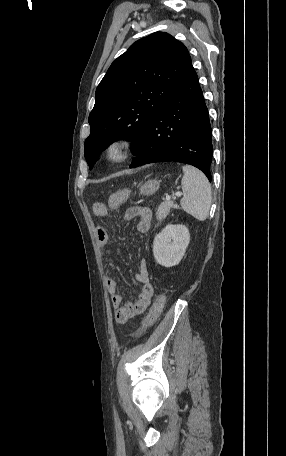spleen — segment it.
Wrapping results in <instances>:
<instances>
[{
  "instance_id": "obj_1",
  "label": "spleen",
  "mask_w": 286,
  "mask_h": 456,
  "mask_svg": "<svg viewBox=\"0 0 286 456\" xmlns=\"http://www.w3.org/2000/svg\"><path fill=\"white\" fill-rule=\"evenodd\" d=\"M183 172L181 207L197 220L204 221L209 215L212 200L210 183L207 177L195 167L186 165L183 167Z\"/></svg>"
}]
</instances>
